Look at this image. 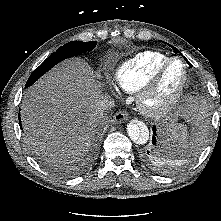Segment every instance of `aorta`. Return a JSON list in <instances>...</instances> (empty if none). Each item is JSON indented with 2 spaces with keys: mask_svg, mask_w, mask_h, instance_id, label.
<instances>
[{
  "mask_svg": "<svg viewBox=\"0 0 221 221\" xmlns=\"http://www.w3.org/2000/svg\"><path fill=\"white\" fill-rule=\"evenodd\" d=\"M127 133L132 141L139 144H145L149 140V130L144 124L129 123Z\"/></svg>",
  "mask_w": 221,
  "mask_h": 221,
  "instance_id": "obj_1",
  "label": "aorta"
}]
</instances>
